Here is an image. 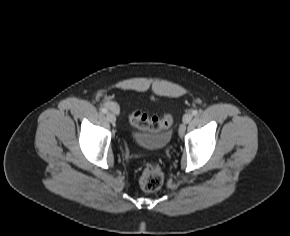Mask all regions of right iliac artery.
<instances>
[{
  "label": "right iliac artery",
  "instance_id": "right-iliac-artery-1",
  "mask_svg": "<svg viewBox=\"0 0 290 236\" xmlns=\"http://www.w3.org/2000/svg\"><path fill=\"white\" fill-rule=\"evenodd\" d=\"M101 111L104 113V114H106L107 112H108V110L106 109V108H101Z\"/></svg>",
  "mask_w": 290,
  "mask_h": 236
}]
</instances>
